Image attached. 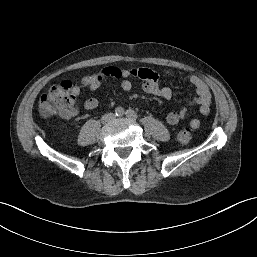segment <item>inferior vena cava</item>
<instances>
[{
	"label": "inferior vena cava",
	"instance_id": "inferior-vena-cava-1",
	"mask_svg": "<svg viewBox=\"0 0 257 257\" xmlns=\"http://www.w3.org/2000/svg\"><path fill=\"white\" fill-rule=\"evenodd\" d=\"M115 118V115L113 113H107L102 116L101 121L102 122H110Z\"/></svg>",
	"mask_w": 257,
	"mask_h": 257
}]
</instances>
